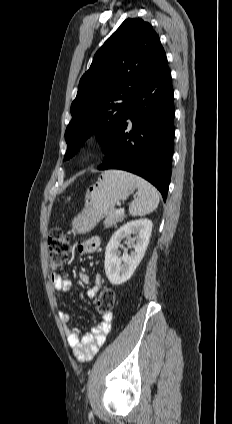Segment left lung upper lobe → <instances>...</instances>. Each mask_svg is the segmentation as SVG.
Instances as JSON below:
<instances>
[{
    "label": "left lung upper lobe",
    "instance_id": "5c2ea615",
    "mask_svg": "<svg viewBox=\"0 0 232 424\" xmlns=\"http://www.w3.org/2000/svg\"><path fill=\"white\" fill-rule=\"evenodd\" d=\"M166 57L157 33L139 18L126 19L97 51L71 105L65 159L96 132L104 153L133 96ZM120 101H123L122 103Z\"/></svg>",
    "mask_w": 232,
    "mask_h": 424
}]
</instances>
